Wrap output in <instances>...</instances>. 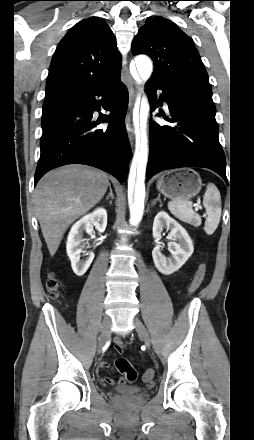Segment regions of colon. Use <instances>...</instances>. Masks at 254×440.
Returning a JSON list of instances; mask_svg holds the SVG:
<instances>
[{
    "label": "colon",
    "mask_w": 254,
    "mask_h": 440,
    "mask_svg": "<svg viewBox=\"0 0 254 440\" xmlns=\"http://www.w3.org/2000/svg\"><path fill=\"white\" fill-rule=\"evenodd\" d=\"M206 273H207L206 264H201L198 267L197 271L195 272L194 277L189 285L188 293L190 295L194 294L200 288V286L202 285L205 279ZM60 287H61V283L59 279L55 275L51 274L46 281V288L48 290L49 296L51 298H57L60 294ZM115 366L120 373L125 375V378L128 382L132 383L136 381L137 372L132 367V365L129 363L128 360H126L125 358H118L115 361ZM153 377H154L153 370L148 369L144 372L143 379L146 382L151 381Z\"/></svg>",
    "instance_id": "1"
}]
</instances>
